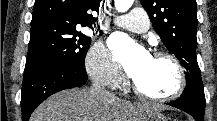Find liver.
<instances>
[{"instance_id": "6515ba94", "label": "liver", "mask_w": 217, "mask_h": 121, "mask_svg": "<svg viewBox=\"0 0 217 121\" xmlns=\"http://www.w3.org/2000/svg\"><path fill=\"white\" fill-rule=\"evenodd\" d=\"M157 112L148 104L133 105L119 98L93 95L88 89H69L50 96L33 112L30 121H142Z\"/></svg>"}]
</instances>
